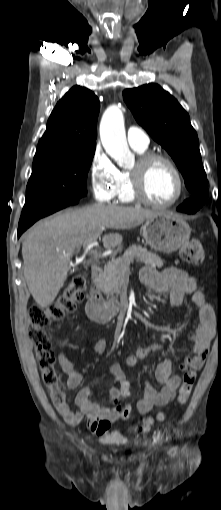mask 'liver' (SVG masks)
<instances>
[{
    "label": "liver",
    "instance_id": "obj_1",
    "mask_svg": "<svg viewBox=\"0 0 221 510\" xmlns=\"http://www.w3.org/2000/svg\"><path fill=\"white\" fill-rule=\"evenodd\" d=\"M161 214L142 208L91 205L67 210L37 222L23 236L24 277L35 302L42 308L51 305L71 274L70 259L77 249L102 232V227L132 229ZM122 235L102 237L104 248L118 246Z\"/></svg>",
    "mask_w": 221,
    "mask_h": 510
}]
</instances>
